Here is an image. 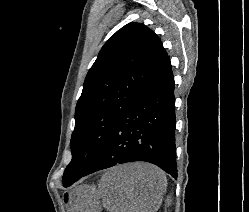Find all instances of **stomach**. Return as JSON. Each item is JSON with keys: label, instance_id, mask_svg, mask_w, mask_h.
<instances>
[{"label": "stomach", "instance_id": "1", "mask_svg": "<svg viewBox=\"0 0 249 212\" xmlns=\"http://www.w3.org/2000/svg\"><path fill=\"white\" fill-rule=\"evenodd\" d=\"M64 202L70 212H101L100 194L95 186H78L65 192Z\"/></svg>", "mask_w": 249, "mask_h": 212}]
</instances>
